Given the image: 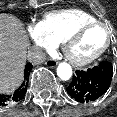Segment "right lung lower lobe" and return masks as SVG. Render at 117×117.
Masks as SVG:
<instances>
[{
    "mask_svg": "<svg viewBox=\"0 0 117 117\" xmlns=\"http://www.w3.org/2000/svg\"><path fill=\"white\" fill-rule=\"evenodd\" d=\"M32 67L33 66L30 63L26 64L25 70H24V81L22 85L12 95L0 94V107L13 105L23 99L27 91L28 79H29V75L32 70Z\"/></svg>",
    "mask_w": 117,
    "mask_h": 117,
    "instance_id": "right-lung-lower-lobe-1",
    "label": "right lung lower lobe"
}]
</instances>
